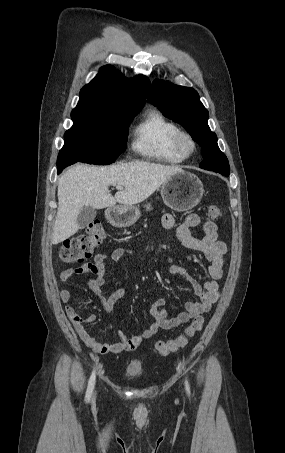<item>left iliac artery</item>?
Segmentation results:
<instances>
[{
    "label": "left iliac artery",
    "instance_id": "obj_1",
    "mask_svg": "<svg viewBox=\"0 0 285 453\" xmlns=\"http://www.w3.org/2000/svg\"><path fill=\"white\" fill-rule=\"evenodd\" d=\"M185 387H186L187 394L190 395V387H189V383L187 380H185Z\"/></svg>",
    "mask_w": 285,
    "mask_h": 453
}]
</instances>
